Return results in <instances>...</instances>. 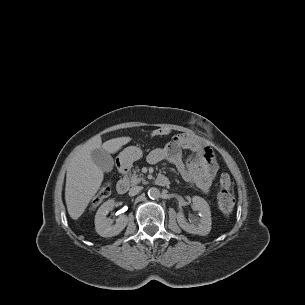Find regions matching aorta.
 Segmentation results:
<instances>
[{
	"label": "aorta",
	"instance_id": "1",
	"mask_svg": "<svg viewBox=\"0 0 305 305\" xmlns=\"http://www.w3.org/2000/svg\"><path fill=\"white\" fill-rule=\"evenodd\" d=\"M148 196L150 199H157L160 197V191L158 188L156 187H151L149 190H148Z\"/></svg>",
	"mask_w": 305,
	"mask_h": 305
}]
</instances>
